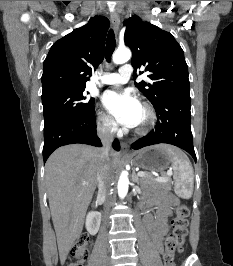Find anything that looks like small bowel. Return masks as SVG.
Here are the masks:
<instances>
[{
	"label": "small bowel",
	"instance_id": "obj_1",
	"mask_svg": "<svg viewBox=\"0 0 233 266\" xmlns=\"http://www.w3.org/2000/svg\"><path fill=\"white\" fill-rule=\"evenodd\" d=\"M176 203L177 199L171 195H162L150 201L151 210L146 214L144 224L158 251H162L163 239L169 228L168 221Z\"/></svg>",
	"mask_w": 233,
	"mask_h": 266
}]
</instances>
